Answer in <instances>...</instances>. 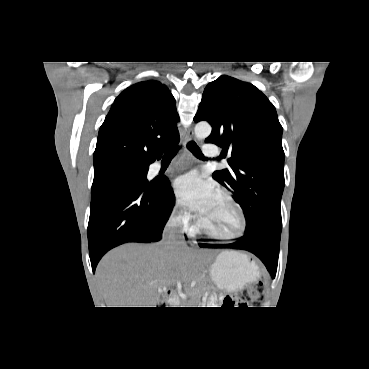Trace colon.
I'll return each instance as SVG.
<instances>
[{"mask_svg":"<svg viewBox=\"0 0 369 369\" xmlns=\"http://www.w3.org/2000/svg\"><path fill=\"white\" fill-rule=\"evenodd\" d=\"M264 295L262 283L252 285L237 295H224L219 297L222 307H249L261 303Z\"/></svg>","mask_w":369,"mask_h":369,"instance_id":"obj_1","label":"colon"}]
</instances>
